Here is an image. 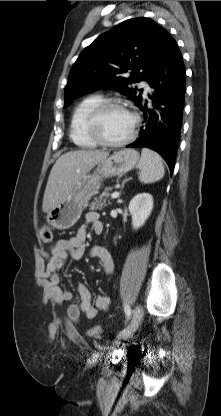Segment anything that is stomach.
I'll return each instance as SVG.
<instances>
[{"label": "stomach", "instance_id": "1", "mask_svg": "<svg viewBox=\"0 0 221 416\" xmlns=\"http://www.w3.org/2000/svg\"><path fill=\"white\" fill-rule=\"evenodd\" d=\"M138 161L139 153L136 150L123 149L98 163L94 172L85 174L70 194L47 214V223L58 230L71 228L91 197L98 193L102 180L127 173Z\"/></svg>", "mask_w": 221, "mask_h": 416}]
</instances>
